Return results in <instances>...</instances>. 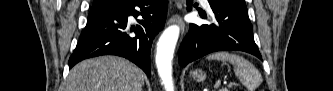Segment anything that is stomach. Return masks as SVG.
Returning <instances> with one entry per match:
<instances>
[{"instance_id":"1","label":"stomach","mask_w":333,"mask_h":91,"mask_svg":"<svg viewBox=\"0 0 333 91\" xmlns=\"http://www.w3.org/2000/svg\"><path fill=\"white\" fill-rule=\"evenodd\" d=\"M193 77L197 81H203L205 80L206 75L202 70H195L193 73Z\"/></svg>"}]
</instances>
